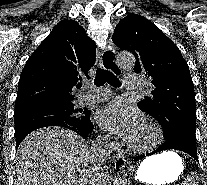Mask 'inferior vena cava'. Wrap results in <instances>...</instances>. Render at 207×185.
Wrapping results in <instances>:
<instances>
[{"instance_id": "602c4592", "label": "inferior vena cava", "mask_w": 207, "mask_h": 185, "mask_svg": "<svg viewBox=\"0 0 207 185\" xmlns=\"http://www.w3.org/2000/svg\"><path fill=\"white\" fill-rule=\"evenodd\" d=\"M91 149H96L95 145H93V147H91Z\"/></svg>"}]
</instances>
